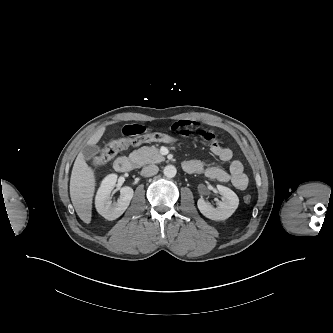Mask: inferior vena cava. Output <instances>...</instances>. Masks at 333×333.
Returning a JSON list of instances; mask_svg holds the SVG:
<instances>
[{
    "label": "inferior vena cava",
    "mask_w": 333,
    "mask_h": 333,
    "mask_svg": "<svg viewBox=\"0 0 333 333\" xmlns=\"http://www.w3.org/2000/svg\"><path fill=\"white\" fill-rule=\"evenodd\" d=\"M158 171H159L158 166L151 164V165L143 167L141 173L145 177H151V176L157 174Z\"/></svg>",
    "instance_id": "obj_1"
}]
</instances>
